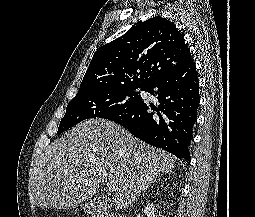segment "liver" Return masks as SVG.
<instances>
[{"label": "liver", "instance_id": "1", "mask_svg": "<svg viewBox=\"0 0 255 217\" xmlns=\"http://www.w3.org/2000/svg\"><path fill=\"white\" fill-rule=\"evenodd\" d=\"M174 167L173 156L135 138L122 126L90 119L40 155L32 171L31 197L40 208L69 209L91 198L106 180L116 188L112 204L123 209Z\"/></svg>", "mask_w": 255, "mask_h": 217}]
</instances>
